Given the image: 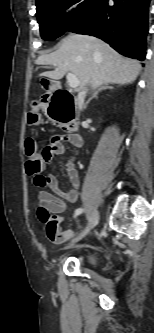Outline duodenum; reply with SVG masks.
Returning a JSON list of instances; mask_svg holds the SVG:
<instances>
[{
    "label": "duodenum",
    "mask_w": 154,
    "mask_h": 333,
    "mask_svg": "<svg viewBox=\"0 0 154 333\" xmlns=\"http://www.w3.org/2000/svg\"><path fill=\"white\" fill-rule=\"evenodd\" d=\"M61 91L68 93V95H69L68 102L65 105L58 102L57 107H53L51 109L50 114L54 119H60V118L67 119L69 121L70 134H76V128L78 125V121L74 115V97L67 90L62 89L61 86L58 85L57 83L54 82L51 84L50 90H49V93L51 96L55 97L56 94H58Z\"/></svg>",
    "instance_id": "obj_1"
}]
</instances>
